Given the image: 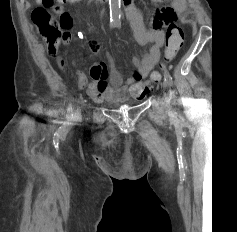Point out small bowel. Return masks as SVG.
<instances>
[{
    "instance_id": "small-bowel-1",
    "label": "small bowel",
    "mask_w": 237,
    "mask_h": 232,
    "mask_svg": "<svg viewBox=\"0 0 237 232\" xmlns=\"http://www.w3.org/2000/svg\"><path fill=\"white\" fill-rule=\"evenodd\" d=\"M82 0H66V3H79ZM157 4L152 16L151 28L146 29L139 11L133 7L128 9V17L134 32L136 42L145 51L141 56L132 58L133 70L126 80H122L119 72L112 67L109 71L103 62L95 63L90 69V80L79 74L78 86L86 89L88 95L95 102L103 101L123 102L133 98L141 100L148 91V84L144 79L149 75L160 58V49L165 41V27L177 20L186 8V0H152ZM170 1L169 6H160ZM57 12L63 9L57 8ZM90 50L98 55L101 45L98 41L90 42ZM58 64L64 67L63 60L58 58Z\"/></svg>"
}]
</instances>
